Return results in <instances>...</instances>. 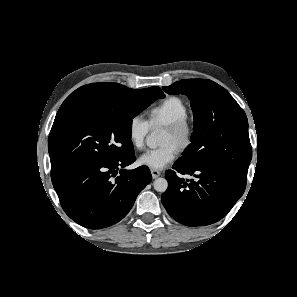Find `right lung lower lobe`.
<instances>
[{
	"label": "right lung lower lobe",
	"mask_w": 297,
	"mask_h": 297,
	"mask_svg": "<svg viewBox=\"0 0 297 297\" xmlns=\"http://www.w3.org/2000/svg\"><path fill=\"white\" fill-rule=\"evenodd\" d=\"M134 161V154L87 161L51 175L65 213L89 229L105 228L119 222L152 180L146 166L124 169Z\"/></svg>",
	"instance_id": "1"
}]
</instances>
